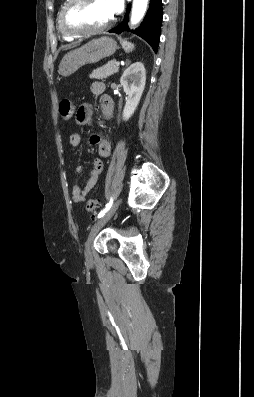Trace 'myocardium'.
Masks as SVG:
<instances>
[{
  "instance_id": "obj_1",
  "label": "myocardium",
  "mask_w": 254,
  "mask_h": 397,
  "mask_svg": "<svg viewBox=\"0 0 254 397\" xmlns=\"http://www.w3.org/2000/svg\"><path fill=\"white\" fill-rule=\"evenodd\" d=\"M89 0H68L67 3L64 5V7L62 8L60 15H59V26L60 29L67 35L69 36H74V37H80V36H86V35H92V34H97V33H101L105 30H107L108 28H110L113 23H114V19L111 18V20L109 22H107L106 24L99 26V27H95V28H75V27H71L68 23H67V15L70 12V10L78 5V4H83L88 2Z\"/></svg>"
}]
</instances>
